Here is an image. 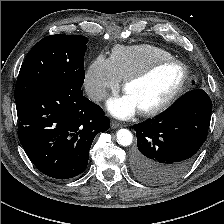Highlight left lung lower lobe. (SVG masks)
Listing matches in <instances>:
<instances>
[{
	"mask_svg": "<svg viewBox=\"0 0 224 224\" xmlns=\"http://www.w3.org/2000/svg\"><path fill=\"white\" fill-rule=\"evenodd\" d=\"M211 112L210 97L204 90L195 89L162 114L135 124L138 150L133 156V171L136 177L155 185L181 177L206 140Z\"/></svg>",
	"mask_w": 224,
	"mask_h": 224,
	"instance_id": "obj_1",
	"label": "left lung lower lobe"
}]
</instances>
